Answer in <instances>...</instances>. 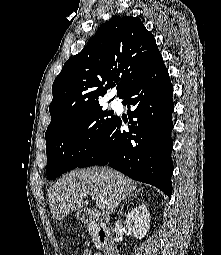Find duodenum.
<instances>
[{
    "mask_svg": "<svg viewBox=\"0 0 221 255\" xmlns=\"http://www.w3.org/2000/svg\"><path fill=\"white\" fill-rule=\"evenodd\" d=\"M80 219L94 229L97 241L103 246L104 255H118L117 245L112 234L104 227V220L101 215L86 210L81 212Z\"/></svg>",
    "mask_w": 221,
    "mask_h": 255,
    "instance_id": "1",
    "label": "duodenum"
}]
</instances>
